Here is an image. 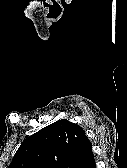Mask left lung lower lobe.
Instances as JSON below:
<instances>
[{
    "label": "left lung lower lobe",
    "mask_w": 127,
    "mask_h": 168,
    "mask_svg": "<svg viewBox=\"0 0 127 168\" xmlns=\"http://www.w3.org/2000/svg\"><path fill=\"white\" fill-rule=\"evenodd\" d=\"M77 168H96L91 143L85 145Z\"/></svg>",
    "instance_id": "obj_1"
}]
</instances>
